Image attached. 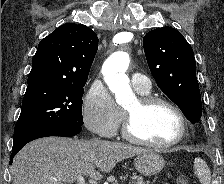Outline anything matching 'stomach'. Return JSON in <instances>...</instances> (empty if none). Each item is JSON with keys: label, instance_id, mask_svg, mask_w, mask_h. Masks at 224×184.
I'll return each mask as SVG.
<instances>
[{"label": "stomach", "instance_id": "0dacf381", "mask_svg": "<svg viewBox=\"0 0 224 184\" xmlns=\"http://www.w3.org/2000/svg\"><path fill=\"white\" fill-rule=\"evenodd\" d=\"M134 165L140 174L153 176L163 169L165 161L158 153L147 151L137 155L134 160Z\"/></svg>", "mask_w": 224, "mask_h": 184}]
</instances>
